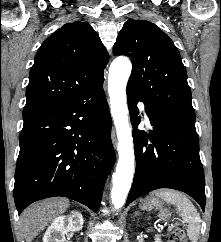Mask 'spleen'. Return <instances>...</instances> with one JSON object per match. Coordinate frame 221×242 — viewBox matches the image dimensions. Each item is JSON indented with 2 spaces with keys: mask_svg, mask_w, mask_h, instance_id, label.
<instances>
[{
  "mask_svg": "<svg viewBox=\"0 0 221 242\" xmlns=\"http://www.w3.org/2000/svg\"><path fill=\"white\" fill-rule=\"evenodd\" d=\"M153 194L176 206L177 213L188 223L189 239L197 242L200 232V216L192 202L184 194L172 189L157 190Z\"/></svg>",
  "mask_w": 221,
  "mask_h": 242,
  "instance_id": "3e777b00",
  "label": "spleen"
}]
</instances>
